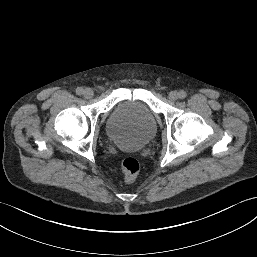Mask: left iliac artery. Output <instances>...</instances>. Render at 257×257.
Wrapping results in <instances>:
<instances>
[{
    "label": "left iliac artery",
    "instance_id": "44dca946",
    "mask_svg": "<svg viewBox=\"0 0 257 257\" xmlns=\"http://www.w3.org/2000/svg\"><path fill=\"white\" fill-rule=\"evenodd\" d=\"M178 95H179V98H180V99H184V98H186V96H187V94H186L185 91H180Z\"/></svg>",
    "mask_w": 257,
    "mask_h": 257
}]
</instances>
